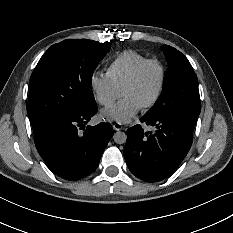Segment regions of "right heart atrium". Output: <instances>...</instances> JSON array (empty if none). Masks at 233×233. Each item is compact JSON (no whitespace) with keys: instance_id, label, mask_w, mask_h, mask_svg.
<instances>
[{"instance_id":"1","label":"right heart atrium","mask_w":233,"mask_h":233,"mask_svg":"<svg viewBox=\"0 0 233 233\" xmlns=\"http://www.w3.org/2000/svg\"><path fill=\"white\" fill-rule=\"evenodd\" d=\"M89 87L95 100L103 105L109 106L117 97L118 90L113 86L110 80L97 72H93L89 78Z\"/></svg>"}]
</instances>
